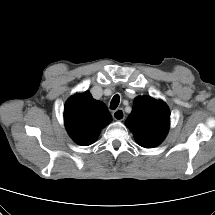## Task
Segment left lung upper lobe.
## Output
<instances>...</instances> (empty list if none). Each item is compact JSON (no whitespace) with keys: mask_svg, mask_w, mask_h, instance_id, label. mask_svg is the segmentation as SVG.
I'll use <instances>...</instances> for the list:
<instances>
[{"mask_svg":"<svg viewBox=\"0 0 215 215\" xmlns=\"http://www.w3.org/2000/svg\"><path fill=\"white\" fill-rule=\"evenodd\" d=\"M169 123L170 112L167 105L147 96L135 98L132 112L125 122L136 142L144 148L158 146L168 133Z\"/></svg>","mask_w":215,"mask_h":215,"instance_id":"5c2ea615","label":"left lung upper lobe"}]
</instances>
